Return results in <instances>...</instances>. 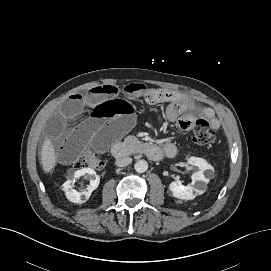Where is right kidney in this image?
Instances as JSON below:
<instances>
[{"label":"right kidney","mask_w":271,"mask_h":271,"mask_svg":"<svg viewBox=\"0 0 271 271\" xmlns=\"http://www.w3.org/2000/svg\"><path fill=\"white\" fill-rule=\"evenodd\" d=\"M81 176H84L85 178L89 179L90 185H88V187L85 190L78 192L73 188V186L75 179L80 178ZM99 182L100 177L96 174V172L93 169L83 168L75 171L73 177L67 179V181L63 183L62 190L65 192V195L69 201L76 204H82L90 198L92 191L98 187Z\"/></svg>","instance_id":"right-kidney-1"}]
</instances>
